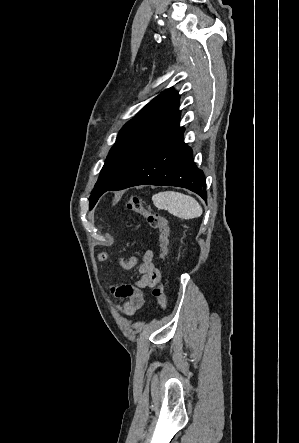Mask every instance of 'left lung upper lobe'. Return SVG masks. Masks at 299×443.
Segmentation results:
<instances>
[{"label": "left lung upper lobe", "mask_w": 299, "mask_h": 443, "mask_svg": "<svg viewBox=\"0 0 299 443\" xmlns=\"http://www.w3.org/2000/svg\"><path fill=\"white\" fill-rule=\"evenodd\" d=\"M179 95L166 89L124 125L90 196V208L150 149L179 127Z\"/></svg>", "instance_id": "obj_1"}]
</instances>
